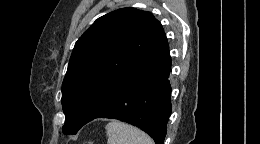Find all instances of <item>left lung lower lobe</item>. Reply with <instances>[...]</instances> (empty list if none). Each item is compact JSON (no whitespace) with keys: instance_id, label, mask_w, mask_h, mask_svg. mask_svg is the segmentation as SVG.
Wrapping results in <instances>:
<instances>
[{"instance_id":"0a47b994","label":"left lung lower lobe","mask_w":260,"mask_h":144,"mask_svg":"<svg viewBox=\"0 0 260 144\" xmlns=\"http://www.w3.org/2000/svg\"><path fill=\"white\" fill-rule=\"evenodd\" d=\"M163 59L171 61L169 47L132 70L94 119L129 123L145 131L156 144H164L172 105L169 81L157 65Z\"/></svg>"}]
</instances>
